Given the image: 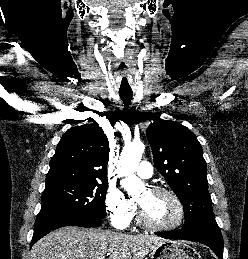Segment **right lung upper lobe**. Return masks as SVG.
Listing matches in <instances>:
<instances>
[{
    "instance_id": "1",
    "label": "right lung upper lobe",
    "mask_w": 248,
    "mask_h": 259,
    "mask_svg": "<svg viewBox=\"0 0 248 259\" xmlns=\"http://www.w3.org/2000/svg\"><path fill=\"white\" fill-rule=\"evenodd\" d=\"M109 143L96 122L70 128L50 162L46 184L64 181H106Z\"/></svg>"
}]
</instances>
